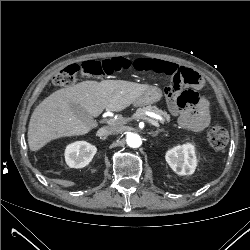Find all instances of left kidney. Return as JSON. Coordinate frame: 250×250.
Here are the masks:
<instances>
[{"label": "left kidney", "instance_id": "5707ae66", "mask_svg": "<svg viewBox=\"0 0 250 250\" xmlns=\"http://www.w3.org/2000/svg\"><path fill=\"white\" fill-rule=\"evenodd\" d=\"M165 159L178 175L193 174L197 165L195 148L190 143L178 145L168 150Z\"/></svg>", "mask_w": 250, "mask_h": 250}]
</instances>
